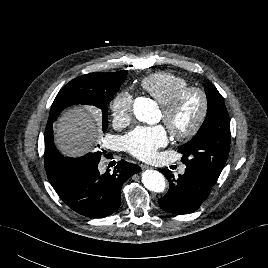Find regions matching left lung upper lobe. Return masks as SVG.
<instances>
[{"label":"left lung upper lobe","mask_w":268,"mask_h":268,"mask_svg":"<svg viewBox=\"0 0 268 268\" xmlns=\"http://www.w3.org/2000/svg\"><path fill=\"white\" fill-rule=\"evenodd\" d=\"M208 111L204 123L188 143L179 147L181 161L208 171L218 178L228 158L230 120L223 97L212 83L205 88Z\"/></svg>","instance_id":"obj_1"}]
</instances>
